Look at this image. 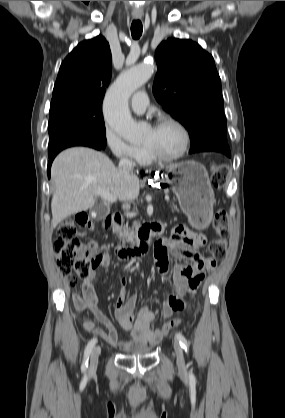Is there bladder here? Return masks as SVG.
<instances>
[{"label":"bladder","instance_id":"1","mask_svg":"<svg viewBox=\"0 0 285 418\" xmlns=\"http://www.w3.org/2000/svg\"><path fill=\"white\" fill-rule=\"evenodd\" d=\"M151 351V347H142V348H135L131 350V355L135 356H146Z\"/></svg>","mask_w":285,"mask_h":418}]
</instances>
